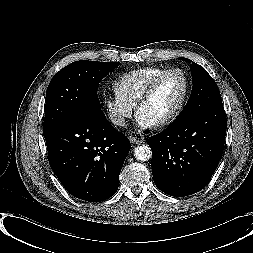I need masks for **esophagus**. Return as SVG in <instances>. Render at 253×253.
Returning a JSON list of instances; mask_svg holds the SVG:
<instances>
[{
	"label": "esophagus",
	"instance_id": "1",
	"mask_svg": "<svg viewBox=\"0 0 253 253\" xmlns=\"http://www.w3.org/2000/svg\"><path fill=\"white\" fill-rule=\"evenodd\" d=\"M129 140L133 145H137V144H140L142 142V140L140 138H137V137H134V136H130Z\"/></svg>",
	"mask_w": 253,
	"mask_h": 253
}]
</instances>
